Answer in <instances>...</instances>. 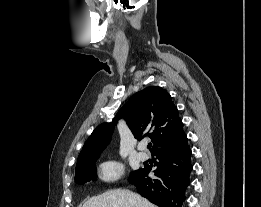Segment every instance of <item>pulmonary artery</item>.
Wrapping results in <instances>:
<instances>
[{"instance_id":"1","label":"pulmonary artery","mask_w":261,"mask_h":207,"mask_svg":"<svg viewBox=\"0 0 261 207\" xmlns=\"http://www.w3.org/2000/svg\"><path fill=\"white\" fill-rule=\"evenodd\" d=\"M139 152L137 154L138 158L142 161H145L148 159V155L144 152L145 149V144H140L139 147Z\"/></svg>"}]
</instances>
